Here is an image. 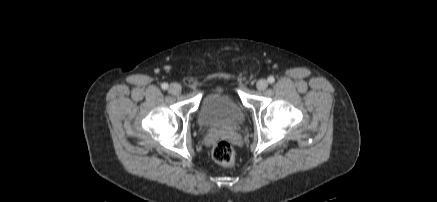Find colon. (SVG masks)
<instances>
[{"mask_svg":"<svg viewBox=\"0 0 437 202\" xmlns=\"http://www.w3.org/2000/svg\"><path fill=\"white\" fill-rule=\"evenodd\" d=\"M212 157L215 162L224 166L230 167L235 163V151L227 141H219L214 145Z\"/></svg>","mask_w":437,"mask_h":202,"instance_id":"obj_1","label":"colon"}]
</instances>
